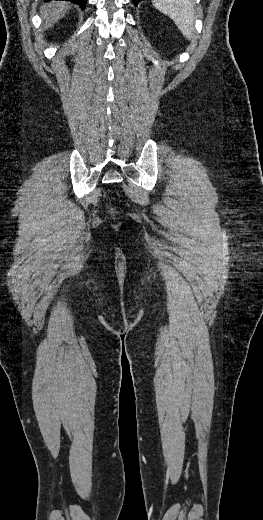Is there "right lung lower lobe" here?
<instances>
[{
  "mask_svg": "<svg viewBox=\"0 0 263 520\" xmlns=\"http://www.w3.org/2000/svg\"><path fill=\"white\" fill-rule=\"evenodd\" d=\"M45 1H50V0H45ZM66 1L74 2V3L78 4V5H80V7L82 9L85 8L86 2H87V0H66Z\"/></svg>",
  "mask_w": 263,
  "mask_h": 520,
  "instance_id": "98d812e1",
  "label": "right lung lower lobe"
}]
</instances>
